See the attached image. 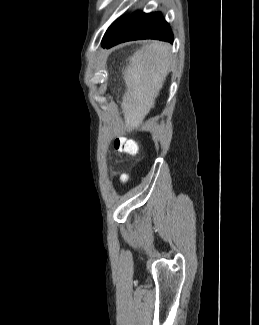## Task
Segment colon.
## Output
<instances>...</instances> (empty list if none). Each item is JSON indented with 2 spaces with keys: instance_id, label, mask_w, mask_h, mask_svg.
I'll list each match as a JSON object with an SVG mask.
<instances>
[{
  "instance_id": "1",
  "label": "colon",
  "mask_w": 259,
  "mask_h": 325,
  "mask_svg": "<svg viewBox=\"0 0 259 325\" xmlns=\"http://www.w3.org/2000/svg\"><path fill=\"white\" fill-rule=\"evenodd\" d=\"M114 148L117 151L124 152L129 155H135L138 152V145L134 142L125 139H116L114 142ZM129 180L128 175L124 174L120 177L122 183H126Z\"/></svg>"
}]
</instances>
